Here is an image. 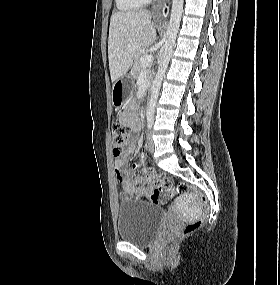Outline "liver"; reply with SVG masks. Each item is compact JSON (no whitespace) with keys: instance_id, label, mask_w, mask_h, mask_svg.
Instances as JSON below:
<instances>
[{"instance_id":"1","label":"liver","mask_w":280,"mask_h":285,"mask_svg":"<svg viewBox=\"0 0 280 285\" xmlns=\"http://www.w3.org/2000/svg\"><path fill=\"white\" fill-rule=\"evenodd\" d=\"M151 19V13L146 10L112 14L108 39L112 82L124 76L136 58L156 41V29Z\"/></svg>"}]
</instances>
